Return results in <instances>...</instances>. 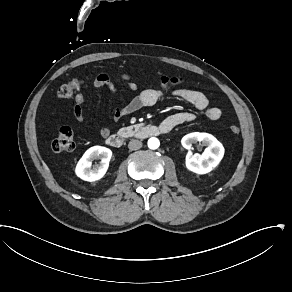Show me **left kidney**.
<instances>
[{
    "instance_id": "5707ae66",
    "label": "left kidney",
    "mask_w": 292,
    "mask_h": 292,
    "mask_svg": "<svg viewBox=\"0 0 292 292\" xmlns=\"http://www.w3.org/2000/svg\"><path fill=\"white\" fill-rule=\"evenodd\" d=\"M196 142H201L207 148L202 154H188L185 166L195 174H207L214 170L223 159L224 147L213 135L204 132L190 133L181 139V144L186 149L191 148Z\"/></svg>"
}]
</instances>
